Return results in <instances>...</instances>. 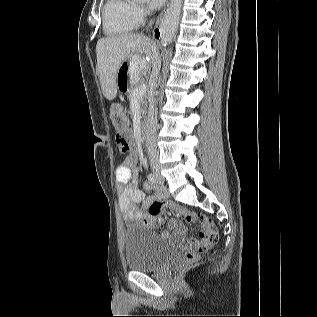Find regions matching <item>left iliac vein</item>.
<instances>
[{"mask_svg": "<svg viewBox=\"0 0 317 317\" xmlns=\"http://www.w3.org/2000/svg\"><path fill=\"white\" fill-rule=\"evenodd\" d=\"M156 173H158V170ZM158 182H159V184H163L164 179L161 176H158Z\"/></svg>", "mask_w": 317, "mask_h": 317, "instance_id": "obj_1", "label": "left iliac vein"}]
</instances>
